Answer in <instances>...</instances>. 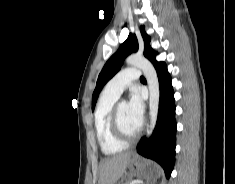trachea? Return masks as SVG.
<instances>
[{
    "instance_id": "1",
    "label": "trachea",
    "mask_w": 235,
    "mask_h": 184,
    "mask_svg": "<svg viewBox=\"0 0 235 184\" xmlns=\"http://www.w3.org/2000/svg\"><path fill=\"white\" fill-rule=\"evenodd\" d=\"M140 80H144V81H145L146 79H145V77L141 76V77H140Z\"/></svg>"
}]
</instances>
